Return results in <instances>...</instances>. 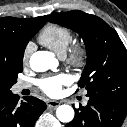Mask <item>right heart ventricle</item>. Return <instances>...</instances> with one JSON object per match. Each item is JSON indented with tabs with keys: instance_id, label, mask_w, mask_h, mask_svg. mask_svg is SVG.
I'll list each match as a JSON object with an SVG mask.
<instances>
[{
	"instance_id": "e07e8e85",
	"label": "right heart ventricle",
	"mask_w": 127,
	"mask_h": 127,
	"mask_svg": "<svg viewBox=\"0 0 127 127\" xmlns=\"http://www.w3.org/2000/svg\"><path fill=\"white\" fill-rule=\"evenodd\" d=\"M38 39L41 44L63 57L72 43L73 33L68 27L48 24L41 30Z\"/></svg>"
}]
</instances>
